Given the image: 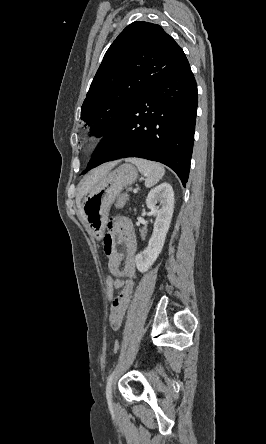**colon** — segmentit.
Segmentation results:
<instances>
[{"instance_id": "5ec220e1", "label": "colon", "mask_w": 266, "mask_h": 444, "mask_svg": "<svg viewBox=\"0 0 266 444\" xmlns=\"http://www.w3.org/2000/svg\"><path fill=\"white\" fill-rule=\"evenodd\" d=\"M127 194L123 193L119 196V198L116 201V207H121L125 201L127 200ZM116 278L114 275L110 274L107 276L105 280V290H106V296L108 300L113 301L114 300V293L116 290ZM120 349V344L118 341H115L113 343V351L114 353H117Z\"/></svg>"}]
</instances>
